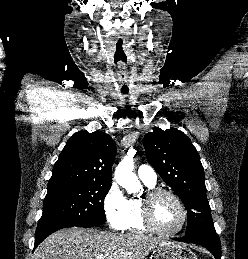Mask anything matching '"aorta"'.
I'll list each match as a JSON object with an SVG mask.
<instances>
[{
	"instance_id": "aorta-1",
	"label": "aorta",
	"mask_w": 248,
	"mask_h": 259,
	"mask_svg": "<svg viewBox=\"0 0 248 259\" xmlns=\"http://www.w3.org/2000/svg\"><path fill=\"white\" fill-rule=\"evenodd\" d=\"M133 169V158L126 156L121 160L115 170V179L117 183L129 193H136L142 188L140 181L133 173Z\"/></svg>"
}]
</instances>
